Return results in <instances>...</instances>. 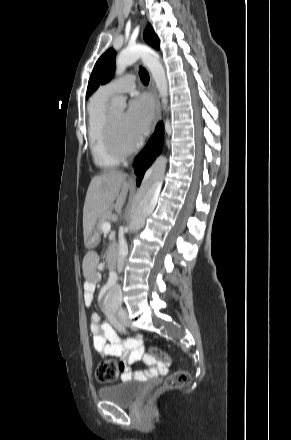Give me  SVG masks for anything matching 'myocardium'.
Instances as JSON below:
<instances>
[{
  "label": "myocardium",
  "instance_id": "1",
  "mask_svg": "<svg viewBox=\"0 0 291 440\" xmlns=\"http://www.w3.org/2000/svg\"><path fill=\"white\" fill-rule=\"evenodd\" d=\"M104 135L109 151L113 156H115L118 159H125L137 149L136 143H133L128 146H123L118 143L115 137V132L110 114H108L105 118Z\"/></svg>",
  "mask_w": 291,
  "mask_h": 440
}]
</instances>
